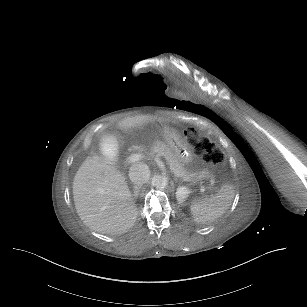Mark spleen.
Returning a JSON list of instances; mask_svg holds the SVG:
<instances>
[{"label":"spleen","mask_w":307,"mask_h":307,"mask_svg":"<svg viewBox=\"0 0 307 307\" xmlns=\"http://www.w3.org/2000/svg\"><path fill=\"white\" fill-rule=\"evenodd\" d=\"M234 192L231 186L224 185L212 197L193 205L192 211L196 222L206 224L221 217L231 205Z\"/></svg>","instance_id":"1"}]
</instances>
